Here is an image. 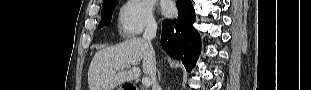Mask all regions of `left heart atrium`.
I'll use <instances>...</instances> for the list:
<instances>
[{"label":"left heart atrium","instance_id":"1","mask_svg":"<svg viewBox=\"0 0 311 90\" xmlns=\"http://www.w3.org/2000/svg\"><path fill=\"white\" fill-rule=\"evenodd\" d=\"M164 12H165L166 15H170L173 12V6L170 5V4H167L164 7Z\"/></svg>","mask_w":311,"mask_h":90}]
</instances>
